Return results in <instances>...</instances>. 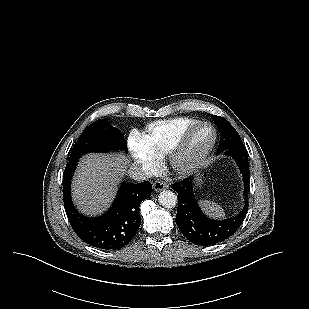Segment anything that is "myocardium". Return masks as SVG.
<instances>
[{"label": "myocardium", "mask_w": 309, "mask_h": 309, "mask_svg": "<svg viewBox=\"0 0 309 309\" xmlns=\"http://www.w3.org/2000/svg\"><path fill=\"white\" fill-rule=\"evenodd\" d=\"M202 126L208 127L212 132L210 143L200 152L190 155V146L192 138L196 130ZM217 140V132L215 127L206 121H198L190 126L183 134L181 139L168 153L169 169L178 175H186L198 167L204 159L213 150Z\"/></svg>", "instance_id": "1"}]
</instances>
